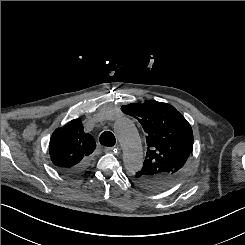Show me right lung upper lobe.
Segmentation results:
<instances>
[{"mask_svg":"<svg viewBox=\"0 0 245 245\" xmlns=\"http://www.w3.org/2000/svg\"><path fill=\"white\" fill-rule=\"evenodd\" d=\"M95 148L94 138L83 131L82 121L78 118L53 132L49 153L55 166L61 170H72L90 158Z\"/></svg>","mask_w":245,"mask_h":245,"instance_id":"1","label":"right lung upper lobe"}]
</instances>
